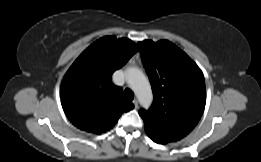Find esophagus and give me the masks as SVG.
Segmentation results:
<instances>
[{
  "label": "esophagus",
  "instance_id": "esophagus-1",
  "mask_svg": "<svg viewBox=\"0 0 261 162\" xmlns=\"http://www.w3.org/2000/svg\"><path fill=\"white\" fill-rule=\"evenodd\" d=\"M133 104H134L135 109H137L138 108V101L136 99L133 100Z\"/></svg>",
  "mask_w": 261,
  "mask_h": 162
}]
</instances>
